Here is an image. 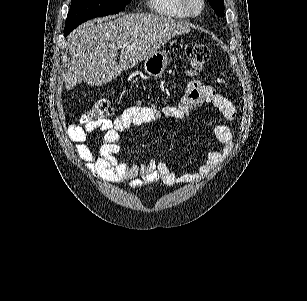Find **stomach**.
Masks as SVG:
<instances>
[{
  "label": "stomach",
  "mask_w": 307,
  "mask_h": 301,
  "mask_svg": "<svg viewBox=\"0 0 307 301\" xmlns=\"http://www.w3.org/2000/svg\"><path fill=\"white\" fill-rule=\"evenodd\" d=\"M168 60V52H165V50L152 52L144 60V70L150 76H161L165 72V68H167Z\"/></svg>",
  "instance_id": "0dacf381"
}]
</instances>
